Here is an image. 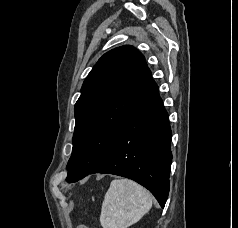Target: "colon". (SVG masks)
Returning a JSON list of instances; mask_svg holds the SVG:
<instances>
[{"label": "colon", "mask_w": 238, "mask_h": 228, "mask_svg": "<svg viewBox=\"0 0 238 228\" xmlns=\"http://www.w3.org/2000/svg\"><path fill=\"white\" fill-rule=\"evenodd\" d=\"M80 228H95V227H86V226H81Z\"/></svg>", "instance_id": "colon-1"}]
</instances>
